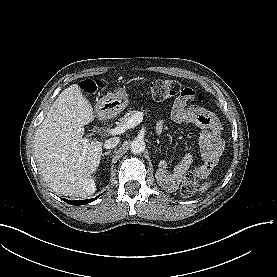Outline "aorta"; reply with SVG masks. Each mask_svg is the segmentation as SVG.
<instances>
[{"mask_svg":"<svg viewBox=\"0 0 277 277\" xmlns=\"http://www.w3.org/2000/svg\"><path fill=\"white\" fill-rule=\"evenodd\" d=\"M146 148V144L143 139H134L130 144V150L134 154L142 153Z\"/></svg>","mask_w":277,"mask_h":277,"instance_id":"762f6f07","label":"aorta"}]
</instances>
